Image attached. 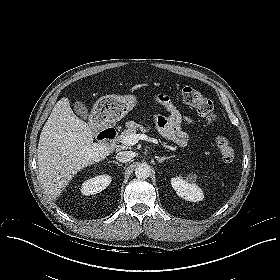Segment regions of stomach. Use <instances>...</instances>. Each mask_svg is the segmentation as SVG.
I'll return each mask as SVG.
<instances>
[{
  "mask_svg": "<svg viewBox=\"0 0 280 280\" xmlns=\"http://www.w3.org/2000/svg\"><path fill=\"white\" fill-rule=\"evenodd\" d=\"M137 102L134 94L107 95L98 100L97 108L106 123H115L124 118L137 105Z\"/></svg>",
  "mask_w": 280,
  "mask_h": 280,
  "instance_id": "stomach-1",
  "label": "stomach"
}]
</instances>
